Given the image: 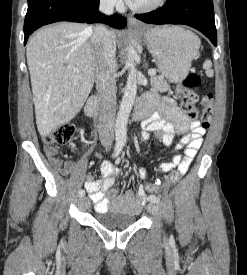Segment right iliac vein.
Here are the masks:
<instances>
[{"label": "right iliac vein", "instance_id": "right-iliac-vein-1", "mask_svg": "<svg viewBox=\"0 0 247 275\" xmlns=\"http://www.w3.org/2000/svg\"><path fill=\"white\" fill-rule=\"evenodd\" d=\"M79 204H80V208L81 209H87L88 206H89V199L86 198V197H82L80 200H79Z\"/></svg>", "mask_w": 247, "mask_h": 275}]
</instances>
